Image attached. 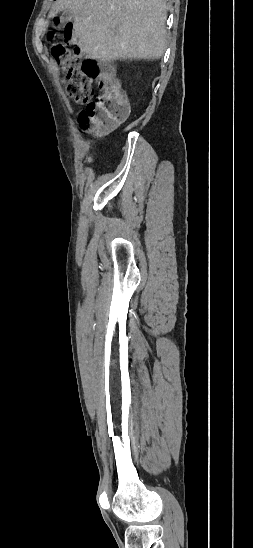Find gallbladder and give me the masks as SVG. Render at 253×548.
I'll return each instance as SVG.
<instances>
[{
  "mask_svg": "<svg viewBox=\"0 0 253 548\" xmlns=\"http://www.w3.org/2000/svg\"><path fill=\"white\" fill-rule=\"evenodd\" d=\"M73 17H72V14L70 11L66 10L63 12L62 16H61V20L62 21H69L71 20Z\"/></svg>",
  "mask_w": 253,
  "mask_h": 548,
  "instance_id": "1",
  "label": "gallbladder"
}]
</instances>
